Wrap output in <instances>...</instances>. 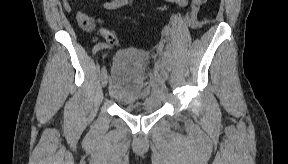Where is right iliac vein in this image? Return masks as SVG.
<instances>
[{
    "label": "right iliac vein",
    "instance_id": "1",
    "mask_svg": "<svg viewBox=\"0 0 288 164\" xmlns=\"http://www.w3.org/2000/svg\"><path fill=\"white\" fill-rule=\"evenodd\" d=\"M101 83H102V86L103 87H106V85H107V82H108V76H107V71H106V69L105 68H103L102 70H101Z\"/></svg>",
    "mask_w": 288,
    "mask_h": 164
}]
</instances>
